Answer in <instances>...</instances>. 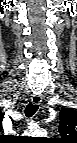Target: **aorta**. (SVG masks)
Returning <instances> with one entry per match:
<instances>
[{
	"label": "aorta",
	"instance_id": "762f6f07",
	"mask_svg": "<svg viewBox=\"0 0 77 143\" xmlns=\"http://www.w3.org/2000/svg\"><path fill=\"white\" fill-rule=\"evenodd\" d=\"M38 134H43V131L38 132Z\"/></svg>",
	"mask_w": 77,
	"mask_h": 143
}]
</instances>
